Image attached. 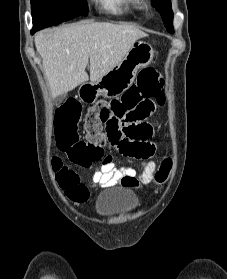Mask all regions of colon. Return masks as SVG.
Returning a JSON list of instances; mask_svg holds the SVG:
<instances>
[{
	"mask_svg": "<svg viewBox=\"0 0 227 279\" xmlns=\"http://www.w3.org/2000/svg\"><path fill=\"white\" fill-rule=\"evenodd\" d=\"M164 85L162 75L152 68L141 70L137 74L136 84L126 90L121 96L99 100L91 106L86 115L87 139L80 137L78 124L82 117V106L77 100L63 104L56 112L54 130L60 150L67 155L70 162L89 167L99 160L104 153L106 136L111 140L123 132L132 142L126 144L127 154L133 159H146L154 153V146L149 142L153 135V127L142 122L149 118L158 106L165 103L161 92ZM106 129V135L103 132ZM53 169L60 174L64 191L75 196L83 189L78 174L63 164L61 158H52ZM171 160L165 159L158 172L156 180L167 179ZM137 184V181H133Z\"/></svg>",
	"mask_w": 227,
	"mask_h": 279,
	"instance_id": "obj_1",
	"label": "colon"
}]
</instances>
